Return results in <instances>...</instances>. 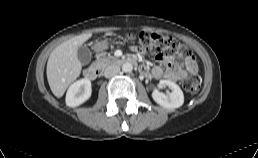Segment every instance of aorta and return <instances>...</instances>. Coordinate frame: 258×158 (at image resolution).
Returning <instances> with one entry per match:
<instances>
[{
    "instance_id": "obj_1",
    "label": "aorta",
    "mask_w": 258,
    "mask_h": 158,
    "mask_svg": "<svg viewBox=\"0 0 258 158\" xmlns=\"http://www.w3.org/2000/svg\"><path fill=\"white\" fill-rule=\"evenodd\" d=\"M132 69H133V66H132V64L131 63H124L123 65H122V70H123V72H131L132 71Z\"/></svg>"
}]
</instances>
